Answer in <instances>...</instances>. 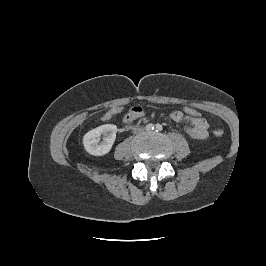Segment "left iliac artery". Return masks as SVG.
<instances>
[{
  "label": "left iliac artery",
  "instance_id": "1",
  "mask_svg": "<svg viewBox=\"0 0 266 266\" xmlns=\"http://www.w3.org/2000/svg\"><path fill=\"white\" fill-rule=\"evenodd\" d=\"M162 129H163V127H162V125H160V124H157V125L155 126V130H156L157 132L162 131Z\"/></svg>",
  "mask_w": 266,
  "mask_h": 266
}]
</instances>
